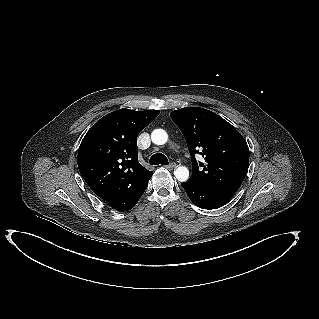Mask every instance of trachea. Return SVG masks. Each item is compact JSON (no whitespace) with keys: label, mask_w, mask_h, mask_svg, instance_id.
Masks as SVG:
<instances>
[{"label":"trachea","mask_w":319,"mask_h":319,"mask_svg":"<svg viewBox=\"0 0 319 319\" xmlns=\"http://www.w3.org/2000/svg\"><path fill=\"white\" fill-rule=\"evenodd\" d=\"M149 163L151 165H168V159L164 154L156 153L153 156H151Z\"/></svg>","instance_id":"trachea-1"}]
</instances>
